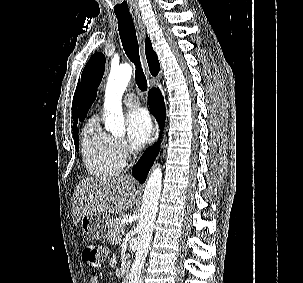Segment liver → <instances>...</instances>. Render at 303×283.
<instances>
[{"label": "liver", "mask_w": 303, "mask_h": 283, "mask_svg": "<svg viewBox=\"0 0 303 283\" xmlns=\"http://www.w3.org/2000/svg\"><path fill=\"white\" fill-rule=\"evenodd\" d=\"M73 199L75 224L84 215L122 214L135 203V182L128 175L86 178L77 184Z\"/></svg>", "instance_id": "obj_1"}]
</instances>
